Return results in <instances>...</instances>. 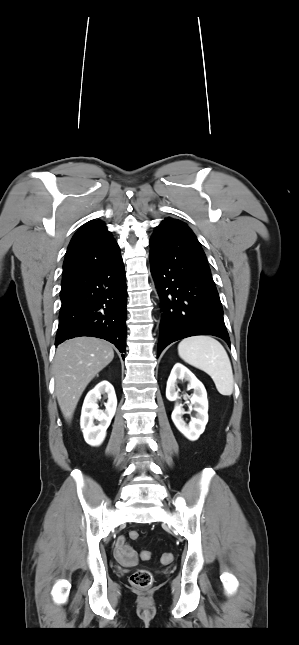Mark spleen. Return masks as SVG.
<instances>
[{
  "label": "spleen",
  "instance_id": "spleen-1",
  "mask_svg": "<svg viewBox=\"0 0 299 645\" xmlns=\"http://www.w3.org/2000/svg\"><path fill=\"white\" fill-rule=\"evenodd\" d=\"M179 356L188 364L206 372L218 392L230 396L234 379L231 363L224 347L210 336H192L178 345Z\"/></svg>",
  "mask_w": 299,
  "mask_h": 645
}]
</instances>
